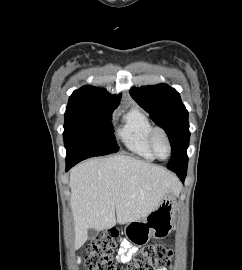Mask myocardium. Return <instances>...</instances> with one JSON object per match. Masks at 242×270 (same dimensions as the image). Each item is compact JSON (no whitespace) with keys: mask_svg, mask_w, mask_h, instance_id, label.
<instances>
[{"mask_svg":"<svg viewBox=\"0 0 242 270\" xmlns=\"http://www.w3.org/2000/svg\"><path fill=\"white\" fill-rule=\"evenodd\" d=\"M158 136H162L166 142H167V145H168V155L166 157H160L156 151V148H155V141H156V138ZM149 147H150V150L152 152V154L154 155L155 158L159 159V160H165L167 158H169L171 156V153H172V143H171V140H170V137L168 135V133L162 129V128H154L151 135H150V138H149Z\"/></svg>","mask_w":242,"mask_h":270,"instance_id":"obj_1","label":"myocardium"}]
</instances>
